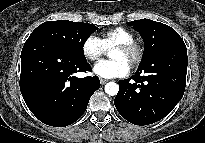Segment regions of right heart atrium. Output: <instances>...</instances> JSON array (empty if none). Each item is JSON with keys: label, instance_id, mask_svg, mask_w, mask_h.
<instances>
[{"label": "right heart atrium", "instance_id": "obj_1", "mask_svg": "<svg viewBox=\"0 0 205 143\" xmlns=\"http://www.w3.org/2000/svg\"><path fill=\"white\" fill-rule=\"evenodd\" d=\"M82 53L87 60L97 61L106 53V48L98 37L89 35L82 44Z\"/></svg>", "mask_w": 205, "mask_h": 143}]
</instances>
